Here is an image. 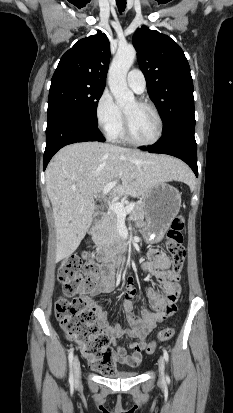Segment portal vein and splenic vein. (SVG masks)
<instances>
[{"label":"portal vein and splenic vein","mask_w":233,"mask_h":413,"mask_svg":"<svg viewBox=\"0 0 233 413\" xmlns=\"http://www.w3.org/2000/svg\"><path fill=\"white\" fill-rule=\"evenodd\" d=\"M117 185L116 181L110 182L107 184L104 189H103V196L107 195L112 188H114ZM109 209L113 211L118 218H125L128 213H130L133 210L134 203L129 204L128 206L124 207V205L120 202L116 201H107Z\"/></svg>","instance_id":"obj_1"}]
</instances>
